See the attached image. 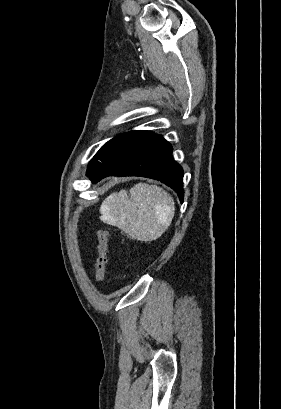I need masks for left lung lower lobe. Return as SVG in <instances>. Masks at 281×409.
I'll list each match as a JSON object with an SVG mask.
<instances>
[{
    "label": "left lung lower lobe",
    "instance_id": "left-lung-lower-lobe-1",
    "mask_svg": "<svg viewBox=\"0 0 281 409\" xmlns=\"http://www.w3.org/2000/svg\"><path fill=\"white\" fill-rule=\"evenodd\" d=\"M152 178L173 188L183 202V169L173 160L172 146L161 135L152 134L123 151L90 176L93 183L110 176Z\"/></svg>",
    "mask_w": 281,
    "mask_h": 409
}]
</instances>
